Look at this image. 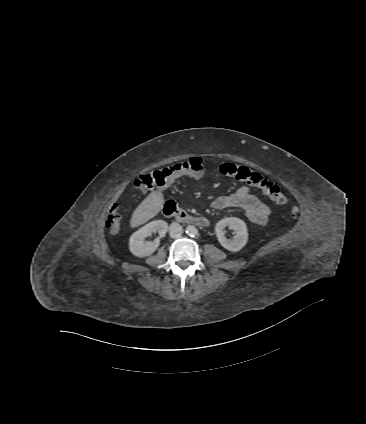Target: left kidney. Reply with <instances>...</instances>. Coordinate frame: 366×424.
<instances>
[{
  "instance_id": "1",
  "label": "left kidney",
  "mask_w": 366,
  "mask_h": 424,
  "mask_svg": "<svg viewBox=\"0 0 366 424\" xmlns=\"http://www.w3.org/2000/svg\"><path fill=\"white\" fill-rule=\"evenodd\" d=\"M228 226L235 231L232 240L225 237V227ZM215 233L219 243L227 250L237 252L241 250L248 241V232L243 220L236 217H229L220 220L215 226Z\"/></svg>"
}]
</instances>
